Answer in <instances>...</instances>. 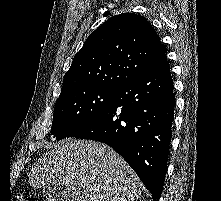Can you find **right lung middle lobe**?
<instances>
[{"label": "right lung middle lobe", "instance_id": "dd1d6c3e", "mask_svg": "<svg viewBox=\"0 0 221 201\" xmlns=\"http://www.w3.org/2000/svg\"><path fill=\"white\" fill-rule=\"evenodd\" d=\"M115 93L114 89L91 88L59 97L55 104L51 134L57 140L66 138L106 108Z\"/></svg>", "mask_w": 221, "mask_h": 201}]
</instances>
